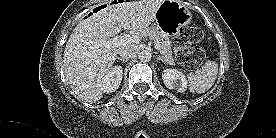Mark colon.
Returning a JSON list of instances; mask_svg holds the SVG:
<instances>
[{"mask_svg": "<svg viewBox=\"0 0 276 138\" xmlns=\"http://www.w3.org/2000/svg\"><path fill=\"white\" fill-rule=\"evenodd\" d=\"M205 37V32L199 27H191L173 40L175 59L178 64L185 67H195L201 64L205 57L202 47L192 44L201 42Z\"/></svg>", "mask_w": 276, "mask_h": 138, "instance_id": "5ec220e1", "label": "colon"}]
</instances>
